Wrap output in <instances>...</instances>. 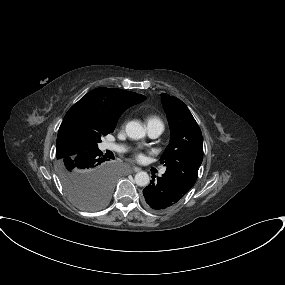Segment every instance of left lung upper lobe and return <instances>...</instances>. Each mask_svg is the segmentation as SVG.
<instances>
[{
	"instance_id": "left-lung-upper-lobe-1",
	"label": "left lung upper lobe",
	"mask_w": 285,
	"mask_h": 285,
	"mask_svg": "<svg viewBox=\"0 0 285 285\" xmlns=\"http://www.w3.org/2000/svg\"><path fill=\"white\" fill-rule=\"evenodd\" d=\"M161 101L171 130L170 143L161 157V164L166 166V172L193 186L203 160L201 130L180 99L162 93Z\"/></svg>"
}]
</instances>
